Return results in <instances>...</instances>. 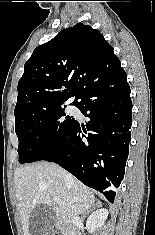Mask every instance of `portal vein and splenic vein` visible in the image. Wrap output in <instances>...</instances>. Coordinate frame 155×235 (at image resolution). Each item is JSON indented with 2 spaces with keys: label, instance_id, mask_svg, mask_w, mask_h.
Returning <instances> with one entry per match:
<instances>
[{
  "label": "portal vein and splenic vein",
  "instance_id": "18ae733b",
  "mask_svg": "<svg viewBox=\"0 0 155 235\" xmlns=\"http://www.w3.org/2000/svg\"><path fill=\"white\" fill-rule=\"evenodd\" d=\"M53 200L56 201V202H59V201H60V199H59L58 196H54V197H53Z\"/></svg>",
  "mask_w": 155,
  "mask_h": 235
}]
</instances>
